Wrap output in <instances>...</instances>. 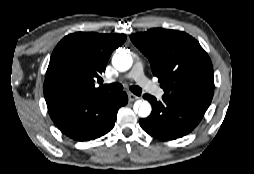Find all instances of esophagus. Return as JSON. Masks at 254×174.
<instances>
[{"label": "esophagus", "instance_id": "obj_1", "mask_svg": "<svg viewBox=\"0 0 254 174\" xmlns=\"http://www.w3.org/2000/svg\"><path fill=\"white\" fill-rule=\"evenodd\" d=\"M128 99H129L130 102H133L135 100H138L139 97L134 95V94H132V93H128Z\"/></svg>", "mask_w": 254, "mask_h": 174}]
</instances>
